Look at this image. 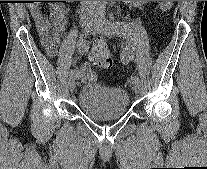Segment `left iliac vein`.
Segmentation results:
<instances>
[{
    "mask_svg": "<svg viewBox=\"0 0 207 169\" xmlns=\"http://www.w3.org/2000/svg\"><path fill=\"white\" fill-rule=\"evenodd\" d=\"M91 32L94 34H100L107 37H112L115 35L114 31L109 28V26L104 22L101 16H96L93 20ZM132 88L135 93H139L141 90L140 82L132 83Z\"/></svg>",
    "mask_w": 207,
    "mask_h": 169,
    "instance_id": "left-iliac-vein-1",
    "label": "left iliac vein"
}]
</instances>
